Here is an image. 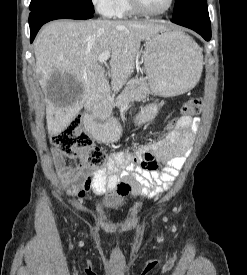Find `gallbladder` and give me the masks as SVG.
Listing matches in <instances>:
<instances>
[{"label":"gallbladder","instance_id":"1","mask_svg":"<svg viewBox=\"0 0 247 275\" xmlns=\"http://www.w3.org/2000/svg\"><path fill=\"white\" fill-rule=\"evenodd\" d=\"M46 90L48 96L63 100L75 96L81 91V86L72 75L56 72L47 81Z\"/></svg>","mask_w":247,"mask_h":275}]
</instances>
